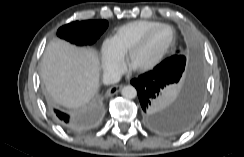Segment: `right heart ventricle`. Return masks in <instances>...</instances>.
I'll return each mask as SVG.
<instances>
[{"label": "right heart ventricle", "instance_id": "right-heart-ventricle-1", "mask_svg": "<svg viewBox=\"0 0 244 157\" xmlns=\"http://www.w3.org/2000/svg\"><path fill=\"white\" fill-rule=\"evenodd\" d=\"M159 23L152 20L128 22L115 30L109 42L114 51L123 57L148 29Z\"/></svg>", "mask_w": 244, "mask_h": 157}]
</instances>
